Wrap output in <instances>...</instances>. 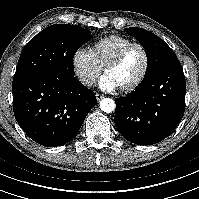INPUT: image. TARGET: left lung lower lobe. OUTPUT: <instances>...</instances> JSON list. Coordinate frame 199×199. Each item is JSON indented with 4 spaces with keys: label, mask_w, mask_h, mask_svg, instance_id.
<instances>
[{
    "label": "left lung lower lobe",
    "mask_w": 199,
    "mask_h": 199,
    "mask_svg": "<svg viewBox=\"0 0 199 199\" xmlns=\"http://www.w3.org/2000/svg\"><path fill=\"white\" fill-rule=\"evenodd\" d=\"M186 84L179 61L153 73L125 98L116 100L114 122L119 133L139 145L159 143L184 115Z\"/></svg>",
    "instance_id": "obj_1"
}]
</instances>
